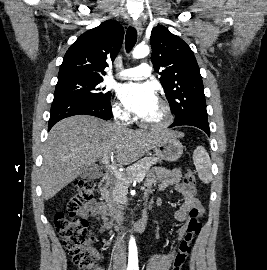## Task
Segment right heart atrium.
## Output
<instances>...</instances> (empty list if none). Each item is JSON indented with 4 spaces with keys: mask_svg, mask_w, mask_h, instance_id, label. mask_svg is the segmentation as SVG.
I'll return each mask as SVG.
<instances>
[{
    "mask_svg": "<svg viewBox=\"0 0 267 270\" xmlns=\"http://www.w3.org/2000/svg\"><path fill=\"white\" fill-rule=\"evenodd\" d=\"M113 113L115 117L123 122H128L130 120L129 112L119 103H115L113 106Z\"/></svg>",
    "mask_w": 267,
    "mask_h": 270,
    "instance_id": "obj_1",
    "label": "right heart atrium"
}]
</instances>
